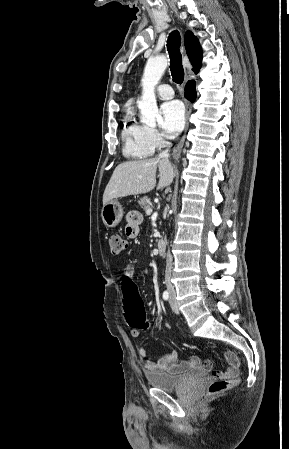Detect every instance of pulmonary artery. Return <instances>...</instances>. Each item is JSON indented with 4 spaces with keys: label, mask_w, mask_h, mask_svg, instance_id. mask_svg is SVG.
<instances>
[{
    "label": "pulmonary artery",
    "mask_w": 289,
    "mask_h": 449,
    "mask_svg": "<svg viewBox=\"0 0 289 449\" xmlns=\"http://www.w3.org/2000/svg\"><path fill=\"white\" fill-rule=\"evenodd\" d=\"M157 95L162 99H170L174 96L172 87L168 84H161L156 89Z\"/></svg>",
    "instance_id": "pulmonary-artery-1"
}]
</instances>
